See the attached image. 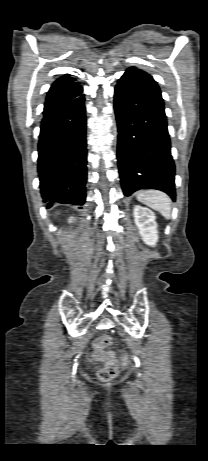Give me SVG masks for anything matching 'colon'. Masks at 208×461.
<instances>
[{
	"instance_id": "5ec220e1",
	"label": "colon",
	"mask_w": 208,
	"mask_h": 461,
	"mask_svg": "<svg viewBox=\"0 0 208 461\" xmlns=\"http://www.w3.org/2000/svg\"><path fill=\"white\" fill-rule=\"evenodd\" d=\"M112 343V337L104 334L99 336L94 342L96 356L104 360V366L98 371V378L101 381H109L117 376L119 363L113 351L107 348Z\"/></svg>"
}]
</instances>
